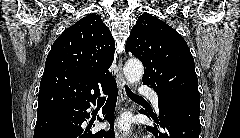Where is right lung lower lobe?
Segmentation results:
<instances>
[{
    "instance_id": "right-lung-lower-lobe-1",
    "label": "right lung lower lobe",
    "mask_w": 240,
    "mask_h": 138,
    "mask_svg": "<svg viewBox=\"0 0 240 138\" xmlns=\"http://www.w3.org/2000/svg\"><path fill=\"white\" fill-rule=\"evenodd\" d=\"M103 91H107L108 99L102 108L103 120L111 123L109 131L100 130L96 133L89 132L91 126L84 129L82 123L90 117L86 112L91 104L96 103L94 97L90 100L57 108L42 114H37L34 138H115L113 131V115L117 100V84L112 80Z\"/></svg>"
}]
</instances>
